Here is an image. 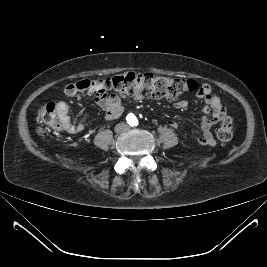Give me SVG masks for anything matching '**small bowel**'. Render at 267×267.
I'll return each instance as SVG.
<instances>
[{
  "label": "small bowel",
  "mask_w": 267,
  "mask_h": 267,
  "mask_svg": "<svg viewBox=\"0 0 267 267\" xmlns=\"http://www.w3.org/2000/svg\"><path fill=\"white\" fill-rule=\"evenodd\" d=\"M84 81L85 80H81L67 84L64 88V93L67 96H75L80 92L87 91L81 87V84ZM197 97L203 101V115L201 120L202 136L197 139V142L201 145L214 146L216 141L211 129L226 116V105L217 95L212 93L211 87L206 83L200 85ZM98 105L104 111V117L107 120L117 119L123 113V106L119 96H110L106 99L98 100ZM187 105V100H180L176 103V107L179 109H184ZM55 106L60 122V129L70 134H78L84 130L85 118L78 123H74L69 116V106L66 102L59 101ZM170 126L173 129H177L179 127V123L172 120L170 121Z\"/></svg>",
  "instance_id": "c3829d8e"
}]
</instances>
